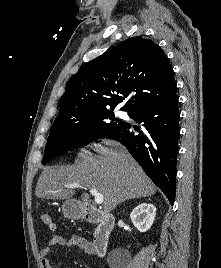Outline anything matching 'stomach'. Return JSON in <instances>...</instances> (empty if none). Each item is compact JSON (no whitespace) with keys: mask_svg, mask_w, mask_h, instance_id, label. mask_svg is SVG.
<instances>
[{"mask_svg":"<svg viewBox=\"0 0 221 268\" xmlns=\"http://www.w3.org/2000/svg\"><path fill=\"white\" fill-rule=\"evenodd\" d=\"M85 208L75 200H67L62 205V212L68 219L78 220L83 217Z\"/></svg>","mask_w":221,"mask_h":268,"instance_id":"stomach-1","label":"stomach"}]
</instances>
